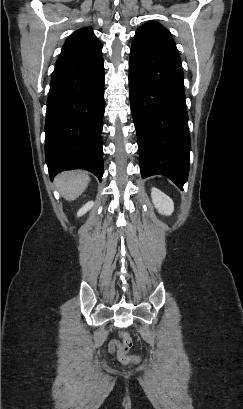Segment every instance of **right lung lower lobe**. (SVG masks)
<instances>
[{
    "instance_id": "98d812e1",
    "label": "right lung lower lobe",
    "mask_w": 243,
    "mask_h": 409,
    "mask_svg": "<svg viewBox=\"0 0 243 409\" xmlns=\"http://www.w3.org/2000/svg\"><path fill=\"white\" fill-rule=\"evenodd\" d=\"M103 115L102 46L56 64L45 122V158L51 180L61 171L77 168L101 180Z\"/></svg>"
}]
</instances>
